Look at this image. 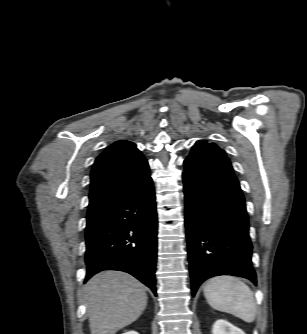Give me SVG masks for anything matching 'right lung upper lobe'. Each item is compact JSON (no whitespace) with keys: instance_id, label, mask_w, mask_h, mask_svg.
Returning a JSON list of instances; mask_svg holds the SVG:
<instances>
[{"instance_id":"obj_1","label":"right lung upper lobe","mask_w":307,"mask_h":334,"mask_svg":"<svg viewBox=\"0 0 307 334\" xmlns=\"http://www.w3.org/2000/svg\"><path fill=\"white\" fill-rule=\"evenodd\" d=\"M90 179L87 218L138 189L151 177L147 160L136 145L119 140L96 158Z\"/></svg>"}]
</instances>
